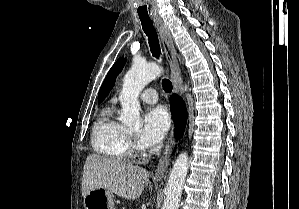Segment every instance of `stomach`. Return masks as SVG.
Returning <instances> with one entry per match:
<instances>
[{"label":"stomach","instance_id":"1","mask_svg":"<svg viewBox=\"0 0 299 209\" xmlns=\"http://www.w3.org/2000/svg\"><path fill=\"white\" fill-rule=\"evenodd\" d=\"M85 209H114L113 194L104 188H94L84 198Z\"/></svg>","mask_w":299,"mask_h":209}]
</instances>
